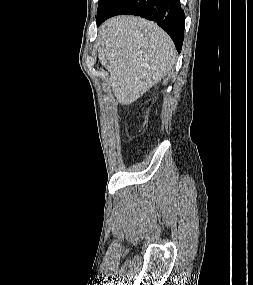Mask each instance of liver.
<instances>
[{"mask_svg": "<svg viewBox=\"0 0 253 285\" xmlns=\"http://www.w3.org/2000/svg\"><path fill=\"white\" fill-rule=\"evenodd\" d=\"M98 57L117 101L129 105L164 78L176 62L171 38L157 24L117 16L99 29Z\"/></svg>", "mask_w": 253, "mask_h": 285, "instance_id": "obj_1", "label": "liver"}]
</instances>
